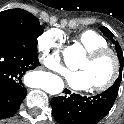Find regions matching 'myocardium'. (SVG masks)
Instances as JSON below:
<instances>
[{"instance_id": "obj_1", "label": "myocardium", "mask_w": 124, "mask_h": 124, "mask_svg": "<svg viewBox=\"0 0 124 124\" xmlns=\"http://www.w3.org/2000/svg\"><path fill=\"white\" fill-rule=\"evenodd\" d=\"M104 55H110L113 61V70L110 75V77L107 79L106 82L99 86H95L91 88V91L94 93H102L108 89H110L115 82L118 80L121 72V62L119 59L118 54L111 49L110 47H99V48H94L86 53V57L89 58L90 60H95L98 59Z\"/></svg>"}]
</instances>
